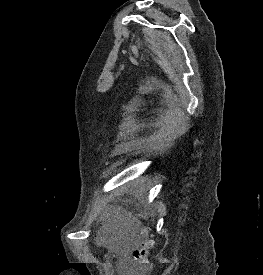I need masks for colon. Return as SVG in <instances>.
<instances>
[{
  "instance_id": "5ec220e1",
  "label": "colon",
  "mask_w": 263,
  "mask_h": 275,
  "mask_svg": "<svg viewBox=\"0 0 263 275\" xmlns=\"http://www.w3.org/2000/svg\"><path fill=\"white\" fill-rule=\"evenodd\" d=\"M131 256L124 269V275H146L148 255L152 245L151 234L146 226L134 223L130 230Z\"/></svg>"
}]
</instances>
